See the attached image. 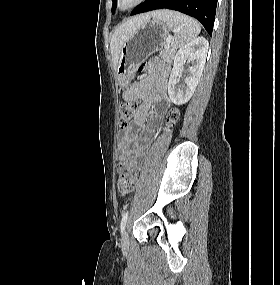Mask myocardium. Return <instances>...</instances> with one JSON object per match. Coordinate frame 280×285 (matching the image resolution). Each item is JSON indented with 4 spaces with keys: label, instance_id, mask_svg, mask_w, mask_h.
Instances as JSON below:
<instances>
[{
    "label": "myocardium",
    "instance_id": "myocardium-1",
    "mask_svg": "<svg viewBox=\"0 0 280 285\" xmlns=\"http://www.w3.org/2000/svg\"><path fill=\"white\" fill-rule=\"evenodd\" d=\"M144 1L145 0H133L129 5H127L126 7H123L122 0H116L115 7L120 12H127V11L134 9L135 7H137L139 4H141Z\"/></svg>",
    "mask_w": 280,
    "mask_h": 285
}]
</instances>
